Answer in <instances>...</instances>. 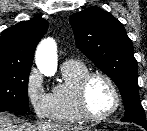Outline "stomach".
Listing matches in <instances>:
<instances>
[{
  "instance_id": "stomach-1",
  "label": "stomach",
  "mask_w": 147,
  "mask_h": 131,
  "mask_svg": "<svg viewBox=\"0 0 147 131\" xmlns=\"http://www.w3.org/2000/svg\"><path fill=\"white\" fill-rule=\"evenodd\" d=\"M84 131H98L97 129H86Z\"/></svg>"
}]
</instances>
